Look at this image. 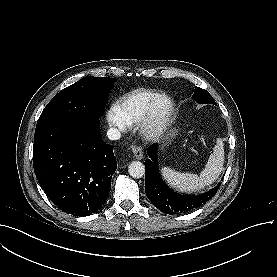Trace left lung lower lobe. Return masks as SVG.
<instances>
[{
	"label": "left lung lower lobe",
	"instance_id": "1",
	"mask_svg": "<svg viewBox=\"0 0 277 277\" xmlns=\"http://www.w3.org/2000/svg\"><path fill=\"white\" fill-rule=\"evenodd\" d=\"M157 146L152 144L147 149L149 159L145 160V193L156 208L166 214L185 213L203 205L216 194L219 185L198 196L181 195L168 188L159 173Z\"/></svg>",
	"mask_w": 277,
	"mask_h": 277
}]
</instances>
